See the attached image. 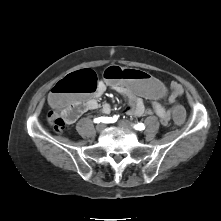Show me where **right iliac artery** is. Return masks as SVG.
I'll return each mask as SVG.
<instances>
[{
	"mask_svg": "<svg viewBox=\"0 0 221 221\" xmlns=\"http://www.w3.org/2000/svg\"><path fill=\"white\" fill-rule=\"evenodd\" d=\"M117 119H118V116L114 115L113 117H99V118H95L94 122L95 123H100V122L110 123V122H116Z\"/></svg>",
	"mask_w": 221,
	"mask_h": 221,
	"instance_id": "82829eb1",
	"label": "right iliac artery"
}]
</instances>
